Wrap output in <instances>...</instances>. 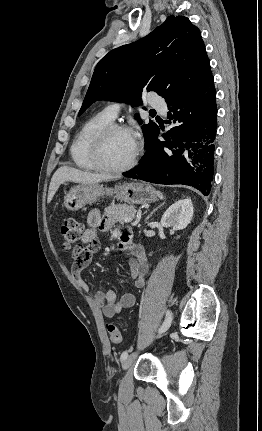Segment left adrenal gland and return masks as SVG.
Masks as SVG:
<instances>
[{
  "instance_id": "1",
  "label": "left adrenal gland",
  "mask_w": 262,
  "mask_h": 431,
  "mask_svg": "<svg viewBox=\"0 0 262 431\" xmlns=\"http://www.w3.org/2000/svg\"><path fill=\"white\" fill-rule=\"evenodd\" d=\"M164 203H161L160 205H158L156 208H154L153 209V211L146 217V219H145V221H147L151 216H152V214L156 211V210H158V208H160L162 205H163Z\"/></svg>"
}]
</instances>
